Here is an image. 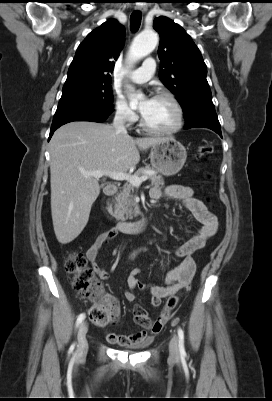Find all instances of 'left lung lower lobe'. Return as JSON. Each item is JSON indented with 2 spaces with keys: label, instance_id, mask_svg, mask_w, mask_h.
Returning <instances> with one entry per match:
<instances>
[{
  "label": "left lung lower lobe",
  "instance_id": "obj_1",
  "mask_svg": "<svg viewBox=\"0 0 272 401\" xmlns=\"http://www.w3.org/2000/svg\"><path fill=\"white\" fill-rule=\"evenodd\" d=\"M186 120L185 129L195 128V127H205L215 131L222 137L221 127L218 121V117L215 111H203L195 113Z\"/></svg>",
  "mask_w": 272,
  "mask_h": 401
}]
</instances>
